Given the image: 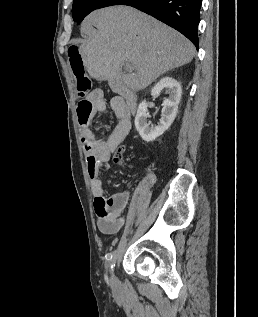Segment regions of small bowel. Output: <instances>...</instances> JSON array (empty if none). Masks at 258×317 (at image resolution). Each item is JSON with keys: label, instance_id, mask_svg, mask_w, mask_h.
<instances>
[{"label": "small bowel", "instance_id": "1", "mask_svg": "<svg viewBox=\"0 0 258 317\" xmlns=\"http://www.w3.org/2000/svg\"><path fill=\"white\" fill-rule=\"evenodd\" d=\"M109 109L116 115L118 122L106 141H98L89 124L95 114L108 110L102 91L93 90L87 99L81 100L77 104V118L81 142L86 155L97 226L103 233L114 234L125 224L124 211L129 205L130 193L123 191L106 198L101 175L108 169L111 155L131 130L133 109L131 104L121 96H115L110 100ZM114 162L122 165L115 159ZM148 181L150 185L156 181L152 172H148Z\"/></svg>", "mask_w": 258, "mask_h": 317}]
</instances>
